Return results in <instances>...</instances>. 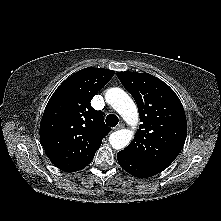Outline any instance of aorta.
Segmentation results:
<instances>
[{
  "label": "aorta",
  "mask_w": 221,
  "mask_h": 221,
  "mask_svg": "<svg viewBox=\"0 0 221 221\" xmlns=\"http://www.w3.org/2000/svg\"><path fill=\"white\" fill-rule=\"evenodd\" d=\"M105 99L127 124L133 127L138 124L137 107L125 91L120 88H111L107 90ZM133 137L134 132L132 130L121 129L110 134L109 143L114 149L121 150L129 145Z\"/></svg>",
  "instance_id": "obj_1"
}]
</instances>
